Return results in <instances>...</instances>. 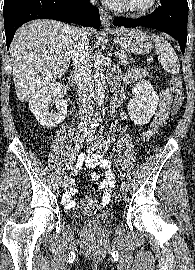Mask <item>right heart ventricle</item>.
<instances>
[{
  "mask_svg": "<svg viewBox=\"0 0 195 270\" xmlns=\"http://www.w3.org/2000/svg\"><path fill=\"white\" fill-rule=\"evenodd\" d=\"M112 6H113L114 8H116L115 0L112 1Z\"/></svg>",
  "mask_w": 195,
  "mask_h": 270,
  "instance_id": "right-heart-ventricle-1",
  "label": "right heart ventricle"
}]
</instances>
